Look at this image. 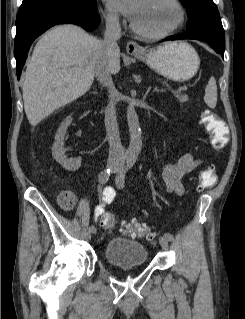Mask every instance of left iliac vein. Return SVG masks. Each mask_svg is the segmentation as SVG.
<instances>
[{
	"instance_id": "obj_1",
	"label": "left iliac vein",
	"mask_w": 245,
	"mask_h": 319,
	"mask_svg": "<svg viewBox=\"0 0 245 319\" xmlns=\"http://www.w3.org/2000/svg\"><path fill=\"white\" fill-rule=\"evenodd\" d=\"M114 172L116 173L115 183L118 187L121 188L120 180H121L122 165L121 164L117 165V169ZM168 241L169 240L165 238L164 236L160 237L159 239V243L161 247L166 251L170 249Z\"/></svg>"
}]
</instances>
